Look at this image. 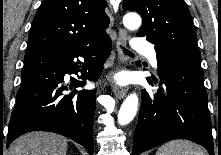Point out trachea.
I'll return each mask as SVG.
<instances>
[{"label": "trachea", "mask_w": 221, "mask_h": 155, "mask_svg": "<svg viewBox=\"0 0 221 155\" xmlns=\"http://www.w3.org/2000/svg\"><path fill=\"white\" fill-rule=\"evenodd\" d=\"M125 53L128 55H132L129 51H127L126 49H124Z\"/></svg>", "instance_id": "1"}]
</instances>
